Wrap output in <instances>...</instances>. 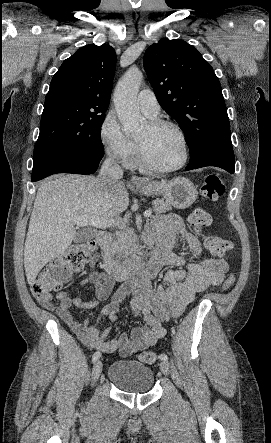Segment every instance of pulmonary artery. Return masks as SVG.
<instances>
[{
	"label": "pulmonary artery",
	"mask_w": 271,
	"mask_h": 443,
	"mask_svg": "<svg viewBox=\"0 0 271 443\" xmlns=\"http://www.w3.org/2000/svg\"><path fill=\"white\" fill-rule=\"evenodd\" d=\"M136 100L139 108L147 117L153 118L159 113V103L150 89L140 91Z\"/></svg>",
	"instance_id": "obj_1"
}]
</instances>
